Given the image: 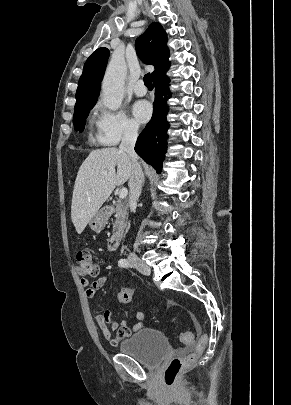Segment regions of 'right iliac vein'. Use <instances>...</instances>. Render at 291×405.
<instances>
[{"instance_id": "1", "label": "right iliac vein", "mask_w": 291, "mask_h": 405, "mask_svg": "<svg viewBox=\"0 0 291 405\" xmlns=\"http://www.w3.org/2000/svg\"><path fill=\"white\" fill-rule=\"evenodd\" d=\"M133 265L135 266L136 269H138L140 272H142L145 275H150L151 269L150 267L144 263L143 261L139 259L133 260Z\"/></svg>"}]
</instances>
